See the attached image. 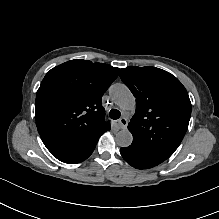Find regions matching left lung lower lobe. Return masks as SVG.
I'll return each instance as SVG.
<instances>
[{
	"label": "left lung lower lobe",
	"mask_w": 219,
	"mask_h": 219,
	"mask_svg": "<svg viewBox=\"0 0 219 219\" xmlns=\"http://www.w3.org/2000/svg\"><path fill=\"white\" fill-rule=\"evenodd\" d=\"M120 153L128 164L137 169H149L165 161L134 144L121 148Z\"/></svg>",
	"instance_id": "1"
}]
</instances>
